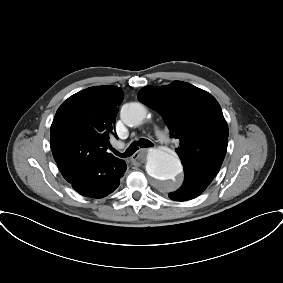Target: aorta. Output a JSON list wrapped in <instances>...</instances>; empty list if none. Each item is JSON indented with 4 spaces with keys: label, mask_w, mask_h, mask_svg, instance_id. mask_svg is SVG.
Segmentation results:
<instances>
[{
    "label": "aorta",
    "mask_w": 283,
    "mask_h": 283,
    "mask_svg": "<svg viewBox=\"0 0 283 283\" xmlns=\"http://www.w3.org/2000/svg\"><path fill=\"white\" fill-rule=\"evenodd\" d=\"M146 116L147 109L141 103L125 104L121 109V118L130 127L140 125ZM146 170L148 175L154 178L164 190H175L181 184L178 178L182 172L181 162L177 156L164 149L149 151Z\"/></svg>",
    "instance_id": "aorta-1"
}]
</instances>
